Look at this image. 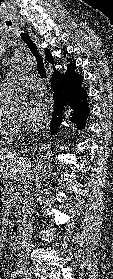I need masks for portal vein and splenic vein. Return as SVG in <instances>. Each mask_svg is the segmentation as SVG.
Listing matches in <instances>:
<instances>
[{"instance_id": "1", "label": "portal vein and splenic vein", "mask_w": 113, "mask_h": 279, "mask_svg": "<svg viewBox=\"0 0 113 279\" xmlns=\"http://www.w3.org/2000/svg\"><path fill=\"white\" fill-rule=\"evenodd\" d=\"M13 200V198H10V201H12Z\"/></svg>"}]
</instances>
